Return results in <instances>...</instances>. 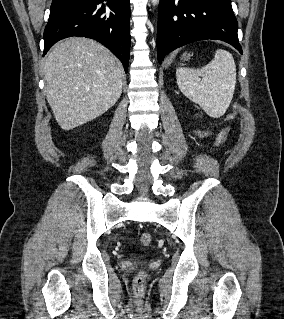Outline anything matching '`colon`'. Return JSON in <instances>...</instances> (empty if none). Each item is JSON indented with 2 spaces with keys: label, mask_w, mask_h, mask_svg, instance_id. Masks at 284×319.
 Segmentation results:
<instances>
[{
  "label": "colon",
  "mask_w": 284,
  "mask_h": 319,
  "mask_svg": "<svg viewBox=\"0 0 284 319\" xmlns=\"http://www.w3.org/2000/svg\"><path fill=\"white\" fill-rule=\"evenodd\" d=\"M237 117L236 112H229L225 115V121L230 122L233 121ZM228 135V127L222 128L217 137H216V145L221 146L226 142ZM152 242V237L148 233H142L139 237V243L141 246L146 247L149 246ZM145 286V273L140 272L136 278L134 279L133 289L137 295H141L144 291Z\"/></svg>",
  "instance_id": "1"
}]
</instances>
